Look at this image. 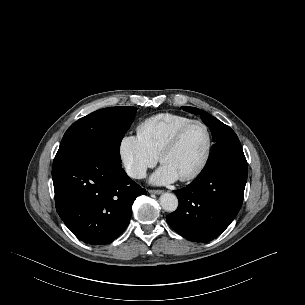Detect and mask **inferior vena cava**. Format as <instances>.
Masks as SVG:
<instances>
[{"mask_svg": "<svg viewBox=\"0 0 305 305\" xmlns=\"http://www.w3.org/2000/svg\"><path fill=\"white\" fill-rule=\"evenodd\" d=\"M126 173L135 179H142L146 176V170L141 166H127Z\"/></svg>", "mask_w": 305, "mask_h": 305, "instance_id": "inferior-vena-cava-1", "label": "inferior vena cava"}]
</instances>
